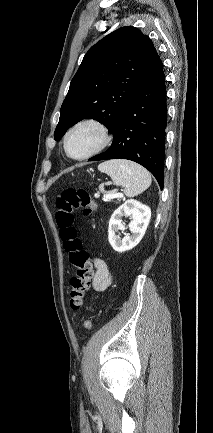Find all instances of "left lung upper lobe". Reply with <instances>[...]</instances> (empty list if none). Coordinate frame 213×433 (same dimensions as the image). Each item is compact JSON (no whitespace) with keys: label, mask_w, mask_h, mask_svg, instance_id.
Segmentation results:
<instances>
[{"label":"left lung upper lobe","mask_w":213,"mask_h":433,"mask_svg":"<svg viewBox=\"0 0 213 433\" xmlns=\"http://www.w3.org/2000/svg\"><path fill=\"white\" fill-rule=\"evenodd\" d=\"M157 58L150 38L133 26L119 28L93 45L70 83L55 140L85 118L96 119L112 132Z\"/></svg>","instance_id":"left-lung-upper-lobe-1"}]
</instances>
